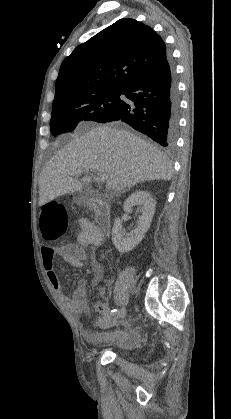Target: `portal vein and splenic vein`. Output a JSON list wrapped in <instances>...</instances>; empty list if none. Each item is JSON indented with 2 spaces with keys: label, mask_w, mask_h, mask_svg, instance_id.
Returning <instances> with one entry per match:
<instances>
[{
  "label": "portal vein and splenic vein",
  "mask_w": 231,
  "mask_h": 419,
  "mask_svg": "<svg viewBox=\"0 0 231 419\" xmlns=\"http://www.w3.org/2000/svg\"><path fill=\"white\" fill-rule=\"evenodd\" d=\"M81 174H82V171L78 170V171L74 172L72 175L80 176ZM106 179H107V176L105 174H102V173H97V175L95 176L96 181L103 182Z\"/></svg>",
  "instance_id": "18ae733b"
}]
</instances>
